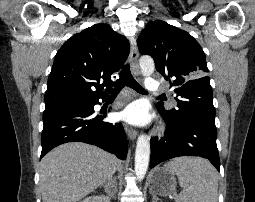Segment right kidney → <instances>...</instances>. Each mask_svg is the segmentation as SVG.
Here are the masks:
<instances>
[{"label": "right kidney", "mask_w": 255, "mask_h": 202, "mask_svg": "<svg viewBox=\"0 0 255 202\" xmlns=\"http://www.w3.org/2000/svg\"><path fill=\"white\" fill-rule=\"evenodd\" d=\"M81 202H110L109 198H106L105 196H90L85 198Z\"/></svg>", "instance_id": "ca27d5eb"}]
</instances>
